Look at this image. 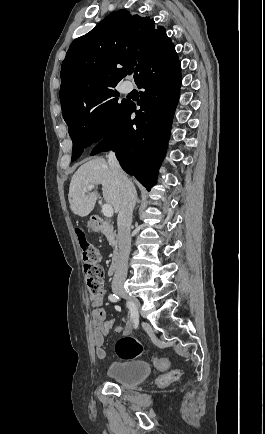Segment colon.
I'll list each match as a JSON object with an SVG mask.
<instances>
[{"instance_id": "obj_1", "label": "colon", "mask_w": 265, "mask_h": 434, "mask_svg": "<svg viewBox=\"0 0 265 434\" xmlns=\"http://www.w3.org/2000/svg\"><path fill=\"white\" fill-rule=\"evenodd\" d=\"M75 235L84 263L88 292L95 301H100L105 295L106 290L103 280V270L100 266L101 257L99 249L89 241L83 229L77 228ZM114 350L120 360L124 361L135 360L142 355H147L146 347L134 336H124L115 343ZM153 364L159 370H166L171 365L168 359H154ZM179 376L180 372L178 370H172L160 377L158 382L160 385H168L179 378Z\"/></svg>"}]
</instances>
